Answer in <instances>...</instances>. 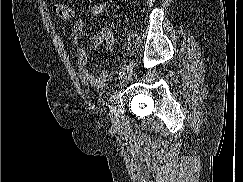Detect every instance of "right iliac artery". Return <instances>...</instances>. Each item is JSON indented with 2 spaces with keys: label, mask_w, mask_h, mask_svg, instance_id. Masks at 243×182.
I'll return each instance as SVG.
<instances>
[{
  "label": "right iliac artery",
  "mask_w": 243,
  "mask_h": 182,
  "mask_svg": "<svg viewBox=\"0 0 243 182\" xmlns=\"http://www.w3.org/2000/svg\"><path fill=\"white\" fill-rule=\"evenodd\" d=\"M125 70H126V65L124 64L119 72L118 80H120L124 76Z\"/></svg>",
  "instance_id": "right-iliac-artery-1"
}]
</instances>
